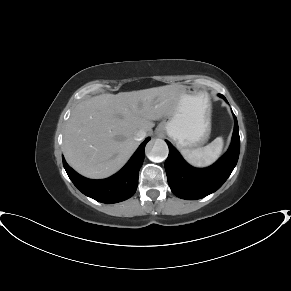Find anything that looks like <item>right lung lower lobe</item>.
I'll return each instance as SVG.
<instances>
[{
  "label": "right lung lower lobe",
  "instance_id": "1",
  "mask_svg": "<svg viewBox=\"0 0 291 291\" xmlns=\"http://www.w3.org/2000/svg\"><path fill=\"white\" fill-rule=\"evenodd\" d=\"M150 138H146L129 162L115 175L103 180L87 179L68 166H63L73 184L86 196L102 203H117L134 195L138 185V173L144 161V150Z\"/></svg>",
  "mask_w": 291,
  "mask_h": 291
}]
</instances>
